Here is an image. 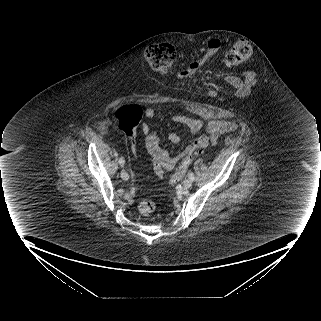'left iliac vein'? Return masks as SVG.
I'll list each match as a JSON object with an SVG mask.
<instances>
[{"label":"left iliac vein","mask_w":321,"mask_h":321,"mask_svg":"<svg viewBox=\"0 0 321 321\" xmlns=\"http://www.w3.org/2000/svg\"><path fill=\"white\" fill-rule=\"evenodd\" d=\"M192 186V180L190 178H187L183 182L184 189L188 190Z\"/></svg>","instance_id":"1"}]
</instances>
